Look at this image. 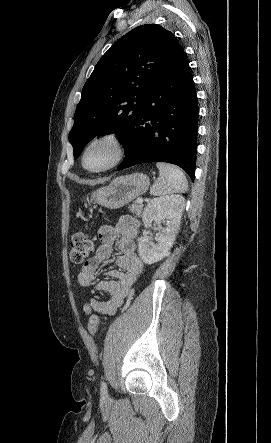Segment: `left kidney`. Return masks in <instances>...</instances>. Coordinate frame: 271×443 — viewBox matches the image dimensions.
<instances>
[{
	"mask_svg": "<svg viewBox=\"0 0 271 443\" xmlns=\"http://www.w3.org/2000/svg\"><path fill=\"white\" fill-rule=\"evenodd\" d=\"M185 206L183 196H162L154 198L146 206L142 220L145 227H149L152 222L158 223L159 233L155 235V241H152L149 235H143L138 239V253L144 263H155L160 261L165 255L170 253L169 249L175 241V235L180 227L181 216ZM165 222L166 227L161 223Z\"/></svg>",
	"mask_w": 271,
	"mask_h": 443,
	"instance_id": "5707ae66",
	"label": "left kidney"
}]
</instances>
